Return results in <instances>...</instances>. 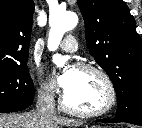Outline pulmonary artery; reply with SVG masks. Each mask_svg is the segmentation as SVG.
I'll return each mask as SVG.
<instances>
[{
  "mask_svg": "<svg viewBox=\"0 0 142 128\" xmlns=\"http://www.w3.org/2000/svg\"><path fill=\"white\" fill-rule=\"evenodd\" d=\"M60 49L69 53L76 52L78 49L77 40L72 35L66 36L60 45Z\"/></svg>",
  "mask_w": 142,
  "mask_h": 128,
  "instance_id": "e3ab8cb5",
  "label": "pulmonary artery"
}]
</instances>
